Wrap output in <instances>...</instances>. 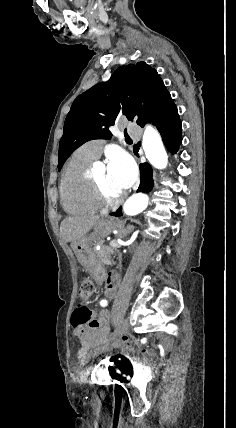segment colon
I'll return each instance as SVG.
<instances>
[{
	"instance_id": "colon-1",
	"label": "colon",
	"mask_w": 236,
	"mask_h": 428,
	"mask_svg": "<svg viewBox=\"0 0 236 428\" xmlns=\"http://www.w3.org/2000/svg\"><path fill=\"white\" fill-rule=\"evenodd\" d=\"M93 291V283L90 279L83 278L80 281L79 296L81 299H87ZM96 326L98 321L93 312L84 304L79 305L73 312L71 324L76 332H80L85 324Z\"/></svg>"
}]
</instances>
